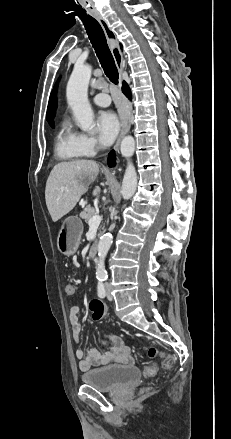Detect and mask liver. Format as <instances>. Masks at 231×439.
Masks as SVG:
<instances>
[{
  "label": "liver",
  "mask_w": 231,
  "mask_h": 439,
  "mask_svg": "<svg viewBox=\"0 0 231 439\" xmlns=\"http://www.w3.org/2000/svg\"><path fill=\"white\" fill-rule=\"evenodd\" d=\"M99 173L93 160L61 162L53 167L46 182L45 200L53 222L68 214L88 191ZM98 189L93 190V196Z\"/></svg>",
  "instance_id": "obj_1"
}]
</instances>
